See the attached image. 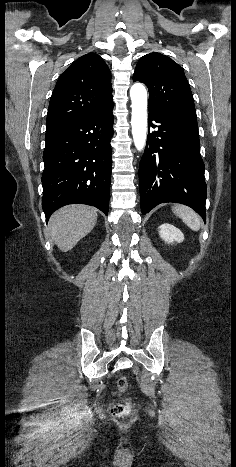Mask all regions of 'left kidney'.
<instances>
[{"label": "left kidney", "mask_w": 236, "mask_h": 467, "mask_svg": "<svg viewBox=\"0 0 236 467\" xmlns=\"http://www.w3.org/2000/svg\"><path fill=\"white\" fill-rule=\"evenodd\" d=\"M159 229L160 237L167 243H180L184 240L183 233L171 224H162Z\"/></svg>", "instance_id": "5707ae66"}]
</instances>
